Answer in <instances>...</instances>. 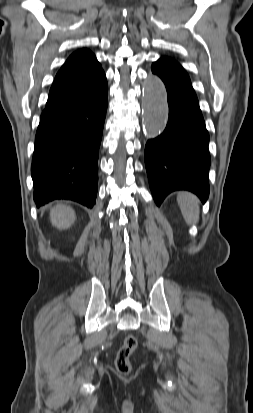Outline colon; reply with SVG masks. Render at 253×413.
<instances>
[{
    "label": "colon",
    "instance_id": "1",
    "mask_svg": "<svg viewBox=\"0 0 253 413\" xmlns=\"http://www.w3.org/2000/svg\"><path fill=\"white\" fill-rule=\"evenodd\" d=\"M138 342L135 336L127 335L116 357V368L121 374L131 371L130 357L135 352Z\"/></svg>",
    "mask_w": 253,
    "mask_h": 413
}]
</instances>
